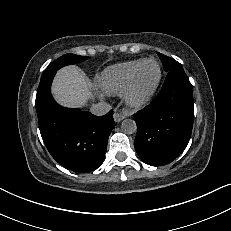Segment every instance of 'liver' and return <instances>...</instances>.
Segmentation results:
<instances>
[{
    "mask_svg": "<svg viewBox=\"0 0 231 231\" xmlns=\"http://www.w3.org/2000/svg\"><path fill=\"white\" fill-rule=\"evenodd\" d=\"M52 93L55 100L65 107H82L92 96L85 75L75 66H67L57 72Z\"/></svg>",
    "mask_w": 231,
    "mask_h": 231,
    "instance_id": "1",
    "label": "liver"
}]
</instances>
